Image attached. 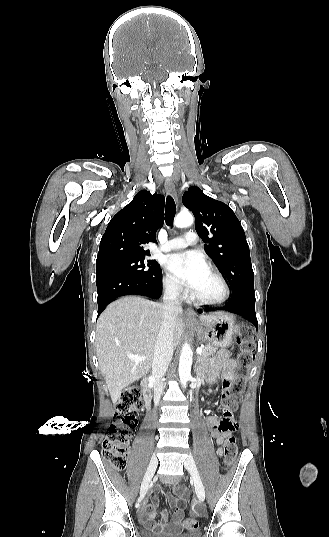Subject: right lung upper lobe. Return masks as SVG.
I'll use <instances>...</instances> for the list:
<instances>
[{
  "label": "right lung upper lobe",
  "instance_id": "1",
  "mask_svg": "<svg viewBox=\"0 0 329 537\" xmlns=\"http://www.w3.org/2000/svg\"><path fill=\"white\" fill-rule=\"evenodd\" d=\"M164 196L147 190L133 200L109 222L100 241L96 265L149 255L148 242H156V231L163 224Z\"/></svg>",
  "mask_w": 329,
  "mask_h": 537
}]
</instances>
